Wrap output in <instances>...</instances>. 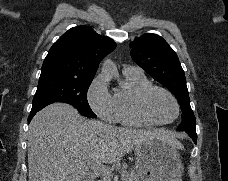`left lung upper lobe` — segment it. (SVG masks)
Returning a JSON list of instances; mask_svg holds the SVG:
<instances>
[{
    "mask_svg": "<svg viewBox=\"0 0 228 181\" xmlns=\"http://www.w3.org/2000/svg\"><path fill=\"white\" fill-rule=\"evenodd\" d=\"M132 59L177 98L182 114L178 131L196 130L184 71L175 51L156 34H144L131 44Z\"/></svg>",
    "mask_w": 228,
    "mask_h": 181,
    "instance_id": "obj_1",
    "label": "left lung upper lobe"
}]
</instances>
